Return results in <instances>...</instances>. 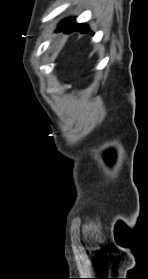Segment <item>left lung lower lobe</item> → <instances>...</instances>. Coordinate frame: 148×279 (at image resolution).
<instances>
[{"instance_id":"1","label":"left lung lower lobe","mask_w":148,"mask_h":279,"mask_svg":"<svg viewBox=\"0 0 148 279\" xmlns=\"http://www.w3.org/2000/svg\"><path fill=\"white\" fill-rule=\"evenodd\" d=\"M90 32L89 27L84 24H77L75 18H69L62 21L57 28L56 32L63 31L65 33H71L73 31Z\"/></svg>"}]
</instances>
